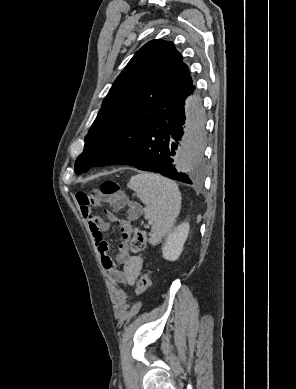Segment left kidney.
Returning <instances> with one entry per match:
<instances>
[{"label":"left kidney","instance_id":"obj_1","mask_svg":"<svg viewBox=\"0 0 296 389\" xmlns=\"http://www.w3.org/2000/svg\"><path fill=\"white\" fill-rule=\"evenodd\" d=\"M189 229V223L183 222L168 235L162 246L163 258L169 261H175L179 258L188 237Z\"/></svg>","mask_w":296,"mask_h":389}]
</instances>
